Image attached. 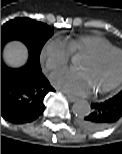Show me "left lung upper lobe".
I'll use <instances>...</instances> for the list:
<instances>
[{
  "label": "left lung upper lobe",
  "instance_id": "obj_1",
  "mask_svg": "<svg viewBox=\"0 0 122 154\" xmlns=\"http://www.w3.org/2000/svg\"><path fill=\"white\" fill-rule=\"evenodd\" d=\"M117 95H122V91L119 94H117Z\"/></svg>",
  "mask_w": 122,
  "mask_h": 154
}]
</instances>
